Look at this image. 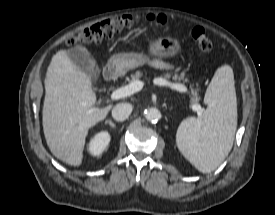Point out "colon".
<instances>
[{
  "instance_id": "5ec220e1",
  "label": "colon",
  "mask_w": 275,
  "mask_h": 215,
  "mask_svg": "<svg viewBox=\"0 0 275 215\" xmlns=\"http://www.w3.org/2000/svg\"><path fill=\"white\" fill-rule=\"evenodd\" d=\"M148 20L159 26L166 23V19L161 15H150ZM133 25V18L130 15H119L110 19L104 20L89 28H86L78 34L69 37L66 40L67 45H75L77 43H98L104 39L111 38ZM190 37L197 44L201 51L208 52L213 48L212 41L206 35L205 31L200 27H191L188 30Z\"/></svg>"
}]
</instances>
